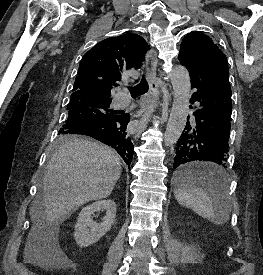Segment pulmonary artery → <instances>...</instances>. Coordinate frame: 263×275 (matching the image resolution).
Instances as JSON below:
<instances>
[{
	"label": "pulmonary artery",
	"mask_w": 263,
	"mask_h": 275,
	"mask_svg": "<svg viewBox=\"0 0 263 275\" xmlns=\"http://www.w3.org/2000/svg\"><path fill=\"white\" fill-rule=\"evenodd\" d=\"M131 102L130 96L127 93H118L114 99V106L117 108H124Z\"/></svg>",
	"instance_id": "e3ab8cb5"
}]
</instances>
